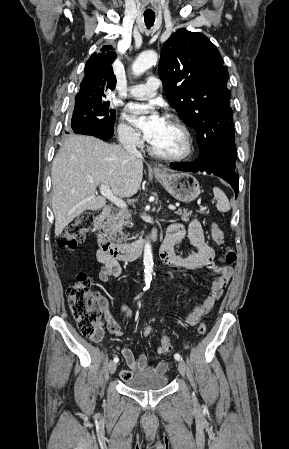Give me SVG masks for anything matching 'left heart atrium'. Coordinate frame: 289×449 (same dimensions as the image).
Returning a JSON list of instances; mask_svg holds the SVG:
<instances>
[{"label": "left heart atrium", "mask_w": 289, "mask_h": 449, "mask_svg": "<svg viewBox=\"0 0 289 449\" xmlns=\"http://www.w3.org/2000/svg\"><path fill=\"white\" fill-rule=\"evenodd\" d=\"M128 110L129 120L141 130L144 139L151 142L164 122L155 106L150 104H131Z\"/></svg>", "instance_id": "obj_1"}]
</instances>
